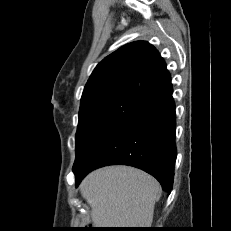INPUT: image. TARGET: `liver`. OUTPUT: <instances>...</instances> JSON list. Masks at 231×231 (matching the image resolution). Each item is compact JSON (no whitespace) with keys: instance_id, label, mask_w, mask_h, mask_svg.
<instances>
[{"instance_id":"obj_1","label":"liver","mask_w":231,"mask_h":231,"mask_svg":"<svg viewBox=\"0 0 231 231\" xmlns=\"http://www.w3.org/2000/svg\"><path fill=\"white\" fill-rule=\"evenodd\" d=\"M97 228H149L160 185L149 174L128 166L90 173L80 185Z\"/></svg>"}]
</instances>
